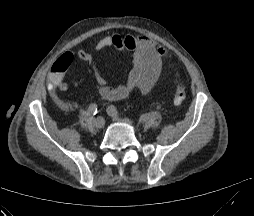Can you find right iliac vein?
Listing matches in <instances>:
<instances>
[{"label":"right iliac vein","mask_w":254,"mask_h":216,"mask_svg":"<svg viewBox=\"0 0 254 216\" xmlns=\"http://www.w3.org/2000/svg\"><path fill=\"white\" fill-rule=\"evenodd\" d=\"M94 125L97 129H101L104 127L105 125V120L103 117H98L97 119H95L94 121Z\"/></svg>","instance_id":"63e3f726"}]
</instances>
